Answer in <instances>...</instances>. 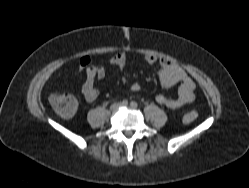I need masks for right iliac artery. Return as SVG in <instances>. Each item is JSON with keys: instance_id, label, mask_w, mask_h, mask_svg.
Listing matches in <instances>:
<instances>
[{"instance_id": "right-iliac-artery-1", "label": "right iliac artery", "mask_w": 249, "mask_h": 188, "mask_svg": "<svg viewBox=\"0 0 249 188\" xmlns=\"http://www.w3.org/2000/svg\"><path fill=\"white\" fill-rule=\"evenodd\" d=\"M121 104H122V106H127L128 105V101L127 100H123Z\"/></svg>"}]
</instances>
